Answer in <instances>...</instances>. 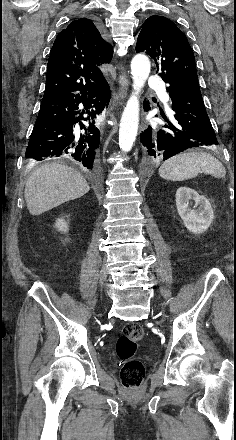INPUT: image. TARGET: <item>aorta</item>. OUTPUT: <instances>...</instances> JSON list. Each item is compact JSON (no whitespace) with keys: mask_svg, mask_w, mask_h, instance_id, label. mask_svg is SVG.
<instances>
[{"mask_svg":"<svg viewBox=\"0 0 236 440\" xmlns=\"http://www.w3.org/2000/svg\"><path fill=\"white\" fill-rule=\"evenodd\" d=\"M133 92L123 111L119 129V147L128 152L136 140L139 125L138 95L150 73V61L144 54H136L131 61Z\"/></svg>","mask_w":236,"mask_h":440,"instance_id":"obj_1","label":"aorta"}]
</instances>
